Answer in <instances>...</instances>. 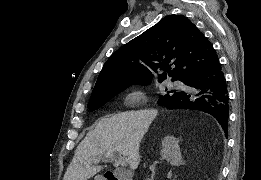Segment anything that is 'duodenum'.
Listing matches in <instances>:
<instances>
[{
	"label": "duodenum",
	"mask_w": 261,
	"mask_h": 180,
	"mask_svg": "<svg viewBox=\"0 0 261 180\" xmlns=\"http://www.w3.org/2000/svg\"><path fill=\"white\" fill-rule=\"evenodd\" d=\"M104 180H127V178L122 177L121 173H106Z\"/></svg>",
	"instance_id": "obj_1"
}]
</instances>
